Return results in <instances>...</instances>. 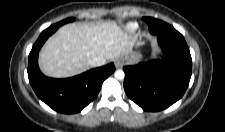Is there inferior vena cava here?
<instances>
[{"label": "inferior vena cava", "instance_id": "obj_1", "mask_svg": "<svg viewBox=\"0 0 225 132\" xmlns=\"http://www.w3.org/2000/svg\"><path fill=\"white\" fill-rule=\"evenodd\" d=\"M106 63V60L102 57H96L90 61L92 67H99Z\"/></svg>", "mask_w": 225, "mask_h": 132}]
</instances>
